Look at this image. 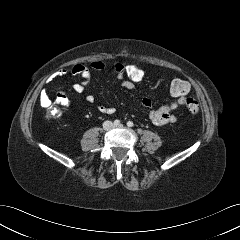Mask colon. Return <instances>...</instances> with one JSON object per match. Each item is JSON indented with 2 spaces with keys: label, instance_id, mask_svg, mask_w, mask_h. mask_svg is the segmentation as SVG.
I'll use <instances>...</instances> for the list:
<instances>
[{
  "label": "colon",
  "instance_id": "1",
  "mask_svg": "<svg viewBox=\"0 0 240 240\" xmlns=\"http://www.w3.org/2000/svg\"><path fill=\"white\" fill-rule=\"evenodd\" d=\"M123 72H124L125 78L130 82H132L134 85L142 82L146 75L144 68L136 62L125 63ZM189 91H190V84L185 80L175 79L170 83L169 93L171 97L177 98V97L185 96L186 109L190 113L195 114L199 111L200 106L197 100L191 97H187V94L189 93ZM59 114H60V111L55 108L50 110V115L52 117H57L59 116Z\"/></svg>",
  "mask_w": 240,
  "mask_h": 240
}]
</instances>
